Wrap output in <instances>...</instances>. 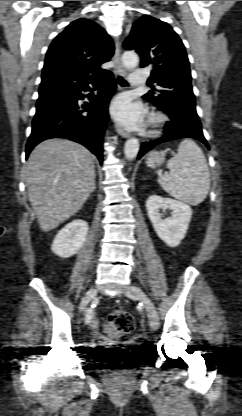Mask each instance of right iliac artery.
Masks as SVG:
<instances>
[{
  "label": "right iliac artery",
  "mask_w": 242,
  "mask_h": 416,
  "mask_svg": "<svg viewBox=\"0 0 242 416\" xmlns=\"http://www.w3.org/2000/svg\"><path fill=\"white\" fill-rule=\"evenodd\" d=\"M91 317H92V310H91V309H89V310L87 311L86 318H85V323H86V324L90 322Z\"/></svg>",
  "instance_id": "obj_1"
}]
</instances>
